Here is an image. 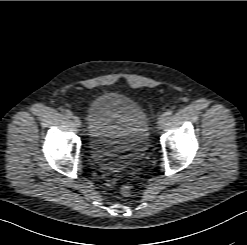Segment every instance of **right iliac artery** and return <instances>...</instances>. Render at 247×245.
I'll use <instances>...</instances> for the list:
<instances>
[{
	"mask_svg": "<svg viewBox=\"0 0 247 245\" xmlns=\"http://www.w3.org/2000/svg\"><path fill=\"white\" fill-rule=\"evenodd\" d=\"M65 114H66V116L69 117V118H71V117L73 116V113H72V111H70V110H66V111H65Z\"/></svg>",
	"mask_w": 247,
	"mask_h": 245,
	"instance_id": "82829eb1",
	"label": "right iliac artery"
}]
</instances>
